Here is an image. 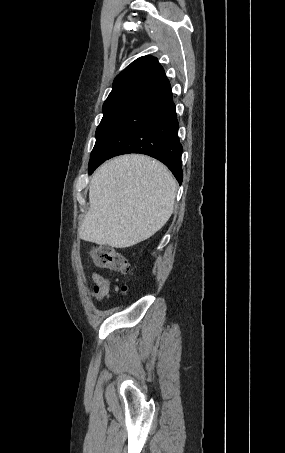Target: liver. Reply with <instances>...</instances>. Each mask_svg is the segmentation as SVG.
<instances>
[{
  "mask_svg": "<svg viewBox=\"0 0 285 453\" xmlns=\"http://www.w3.org/2000/svg\"><path fill=\"white\" fill-rule=\"evenodd\" d=\"M177 184L159 161L123 155L104 163L89 186L82 240L128 248L154 235L173 213Z\"/></svg>",
  "mask_w": 285,
  "mask_h": 453,
  "instance_id": "6515ba94",
  "label": "liver"
}]
</instances>
